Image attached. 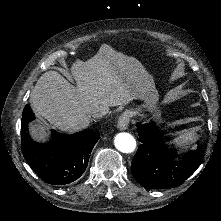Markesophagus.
<instances>
[{"label": "esophagus", "mask_w": 221, "mask_h": 221, "mask_svg": "<svg viewBox=\"0 0 221 221\" xmlns=\"http://www.w3.org/2000/svg\"><path fill=\"white\" fill-rule=\"evenodd\" d=\"M121 123H120V128L121 129H126L128 127V123H129V117L127 114H124L121 116Z\"/></svg>", "instance_id": "esophagus-1"}]
</instances>
